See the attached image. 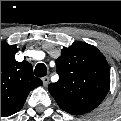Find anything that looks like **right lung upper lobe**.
<instances>
[{
    "instance_id": "obj_1",
    "label": "right lung upper lobe",
    "mask_w": 121,
    "mask_h": 121,
    "mask_svg": "<svg viewBox=\"0 0 121 121\" xmlns=\"http://www.w3.org/2000/svg\"><path fill=\"white\" fill-rule=\"evenodd\" d=\"M17 47L1 42V116L18 112L31 90L42 85L27 61L15 60Z\"/></svg>"
}]
</instances>
